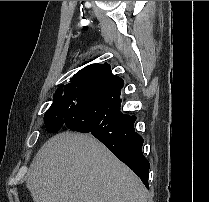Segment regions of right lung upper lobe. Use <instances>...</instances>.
Here are the masks:
<instances>
[{"label": "right lung upper lobe", "mask_w": 209, "mask_h": 202, "mask_svg": "<svg viewBox=\"0 0 209 202\" xmlns=\"http://www.w3.org/2000/svg\"><path fill=\"white\" fill-rule=\"evenodd\" d=\"M109 72H111L110 65L106 63L105 64H92L80 70L73 77L77 75H89L91 76L92 79H95V78H100Z\"/></svg>", "instance_id": "obj_1"}]
</instances>
